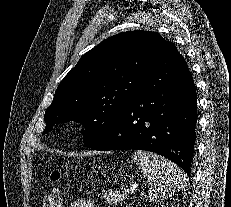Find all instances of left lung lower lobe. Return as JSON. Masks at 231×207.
<instances>
[{
	"mask_svg": "<svg viewBox=\"0 0 231 207\" xmlns=\"http://www.w3.org/2000/svg\"><path fill=\"white\" fill-rule=\"evenodd\" d=\"M197 94L173 44L145 78L144 91L119 116L93 150H148L163 155L190 177L197 122Z\"/></svg>",
	"mask_w": 231,
	"mask_h": 207,
	"instance_id": "left-lung-lower-lobe-1",
	"label": "left lung lower lobe"
}]
</instances>
